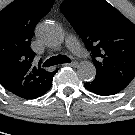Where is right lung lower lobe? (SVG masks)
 Segmentation results:
<instances>
[{
	"mask_svg": "<svg viewBox=\"0 0 135 135\" xmlns=\"http://www.w3.org/2000/svg\"><path fill=\"white\" fill-rule=\"evenodd\" d=\"M51 86H52V84L49 87H47L46 89H44L43 91H41V92H39L37 94L29 95V96L22 97V98H25V99H35V98H38V97L42 96L43 94H45L50 89Z\"/></svg>",
	"mask_w": 135,
	"mask_h": 135,
	"instance_id": "1",
	"label": "right lung lower lobe"
}]
</instances>
